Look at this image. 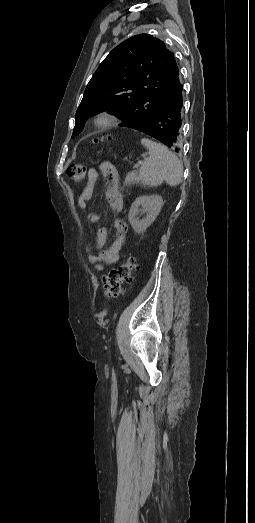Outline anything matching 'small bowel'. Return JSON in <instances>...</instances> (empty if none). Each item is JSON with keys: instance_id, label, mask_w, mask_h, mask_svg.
<instances>
[{"instance_id": "obj_1", "label": "small bowel", "mask_w": 255, "mask_h": 523, "mask_svg": "<svg viewBox=\"0 0 255 523\" xmlns=\"http://www.w3.org/2000/svg\"><path fill=\"white\" fill-rule=\"evenodd\" d=\"M99 172H102L107 181L106 197L111 205V208L120 213L123 210L124 203L123 198L119 191L118 175L116 169L109 163H102L98 168H91L88 172V181L83 188L79 198L78 206L81 209H86L88 202L91 200L94 192V187L99 176ZM88 220L91 223H98L100 216L96 213H90ZM114 229L116 232V238L112 243L105 248L107 241V230L105 228H99L96 234V247L100 250L99 253H95L89 243L85 246V253L89 263L97 270L103 271L105 265L114 264L120 259V252L125 241L127 234V225L121 220L117 219L114 222Z\"/></svg>"}]
</instances>
